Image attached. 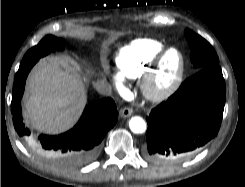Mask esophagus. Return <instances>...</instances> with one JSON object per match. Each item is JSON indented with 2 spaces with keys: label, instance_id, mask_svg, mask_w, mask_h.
<instances>
[{
  "label": "esophagus",
  "instance_id": "esophagus-1",
  "mask_svg": "<svg viewBox=\"0 0 245 187\" xmlns=\"http://www.w3.org/2000/svg\"><path fill=\"white\" fill-rule=\"evenodd\" d=\"M133 113V110L129 107H123L120 109V116L123 118L131 116Z\"/></svg>",
  "mask_w": 245,
  "mask_h": 187
}]
</instances>
